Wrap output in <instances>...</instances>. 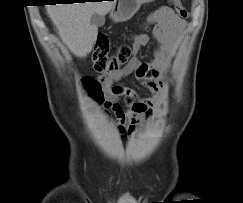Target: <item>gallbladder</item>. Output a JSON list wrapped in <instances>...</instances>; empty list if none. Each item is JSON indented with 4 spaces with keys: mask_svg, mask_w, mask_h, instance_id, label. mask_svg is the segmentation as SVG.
I'll use <instances>...</instances> for the list:
<instances>
[{
    "mask_svg": "<svg viewBox=\"0 0 243 203\" xmlns=\"http://www.w3.org/2000/svg\"><path fill=\"white\" fill-rule=\"evenodd\" d=\"M91 23L94 26L101 27L105 24V17L97 13H94L91 17Z\"/></svg>",
    "mask_w": 243,
    "mask_h": 203,
    "instance_id": "obj_1",
    "label": "gallbladder"
}]
</instances>
